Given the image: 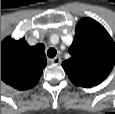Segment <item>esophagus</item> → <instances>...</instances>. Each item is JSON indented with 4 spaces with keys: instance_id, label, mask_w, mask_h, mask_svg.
Instances as JSON below:
<instances>
[{
    "instance_id": "34e87169",
    "label": "esophagus",
    "mask_w": 115,
    "mask_h": 114,
    "mask_svg": "<svg viewBox=\"0 0 115 114\" xmlns=\"http://www.w3.org/2000/svg\"><path fill=\"white\" fill-rule=\"evenodd\" d=\"M50 62L53 64H60L61 63V57L57 56L53 59H50Z\"/></svg>"
}]
</instances>
